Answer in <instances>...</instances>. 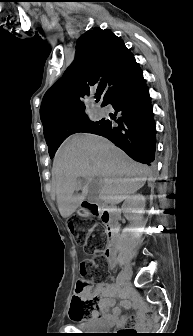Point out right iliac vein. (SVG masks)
<instances>
[{
    "mask_svg": "<svg viewBox=\"0 0 193 336\" xmlns=\"http://www.w3.org/2000/svg\"><path fill=\"white\" fill-rule=\"evenodd\" d=\"M122 283L128 282L131 278L132 272L129 266H126L122 272Z\"/></svg>",
    "mask_w": 193,
    "mask_h": 336,
    "instance_id": "63e3f726",
    "label": "right iliac vein"
}]
</instances>
